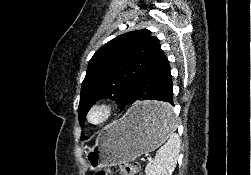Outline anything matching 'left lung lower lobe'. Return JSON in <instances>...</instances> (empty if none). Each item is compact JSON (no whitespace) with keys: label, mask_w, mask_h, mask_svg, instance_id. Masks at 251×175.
<instances>
[{"label":"left lung lower lobe","mask_w":251,"mask_h":175,"mask_svg":"<svg viewBox=\"0 0 251 175\" xmlns=\"http://www.w3.org/2000/svg\"><path fill=\"white\" fill-rule=\"evenodd\" d=\"M158 100L165 103L137 105L136 101ZM173 84L170 66L164 55L135 85L128 100L120 105V110L130 109V115L141 121L164 122L172 117Z\"/></svg>","instance_id":"0a47b994"}]
</instances>
